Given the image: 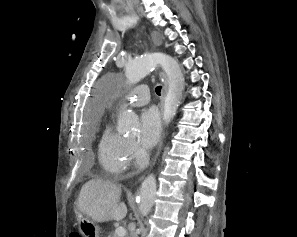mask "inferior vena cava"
<instances>
[{"label": "inferior vena cava", "instance_id": "602c4592", "mask_svg": "<svg viewBox=\"0 0 297 237\" xmlns=\"http://www.w3.org/2000/svg\"><path fill=\"white\" fill-rule=\"evenodd\" d=\"M129 237H138V234H137V232L135 230V226L132 227Z\"/></svg>", "mask_w": 297, "mask_h": 237}]
</instances>
